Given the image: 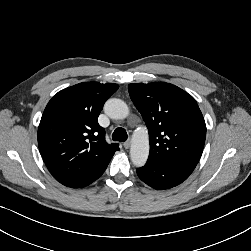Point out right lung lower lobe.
I'll list each match as a JSON object with an SVG mask.
<instances>
[{
	"label": "right lung lower lobe",
	"instance_id": "obj_1",
	"mask_svg": "<svg viewBox=\"0 0 251 251\" xmlns=\"http://www.w3.org/2000/svg\"><path fill=\"white\" fill-rule=\"evenodd\" d=\"M105 170H103L101 173H99V175H97L94 179L92 180H89L88 182L86 183H82V184H77V185H74V186H71L72 188H82V187H85L89 184H91L93 181H95L96 179H98L104 172Z\"/></svg>",
	"mask_w": 251,
	"mask_h": 251
}]
</instances>
